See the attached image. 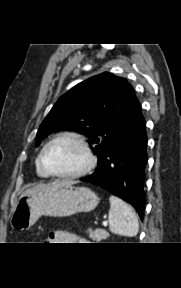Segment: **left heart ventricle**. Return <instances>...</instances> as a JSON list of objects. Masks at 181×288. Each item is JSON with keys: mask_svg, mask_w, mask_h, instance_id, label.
Masks as SVG:
<instances>
[{"mask_svg": "<svg viewBox=\"0 0 181 288\" xmlns=\"http://www.w3.org/2000/svg\"><path fill=\"white\" fill-rule=\"evenodd\" d=\"M45 162L52 171L66 174L79 170L84 165L85 156L76 142L62 139L47 149Z\"/></svg>", "mask_w": 181, "mask_h": 288, "instance_id": "obj_1", "label": "left heart ventricle"}]
</instances>
